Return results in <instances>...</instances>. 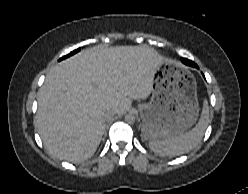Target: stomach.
<instances>
[{"label":"stomach","instance_id":"0dacf381","mask_svg":"<svg viewBox=\"0 0 248 194\" xmlns=\"http://www.w3.org/2000/svg\"><path fill=\"white\" fill-rule=\"evenodd\" d=\"M139 112L145 139L169 138L190 128L199 112L193 74L179 62L164 59L155 73L151 102L140 105Z\"/></svg>","mask_w":248,"mask_h":194}]
</instances>
